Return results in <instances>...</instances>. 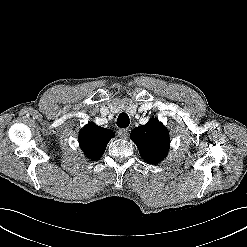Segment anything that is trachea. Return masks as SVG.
<instances>
[{"label": "trachea", "instance_id": "obj_1", "mask_svg": "<svg viewBox=\"0 0 247 247\" xmlns=\"http://www.w3.org/2000/svg\"><path fill=\"white\" fill-rule=\"evenodd\" d=\"M129 116L126 113H121L117 118V126L120 128H126L129 126Z\"/></svg>", "mask_w": 247, "mask_h": 247}]
</instances>
